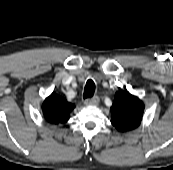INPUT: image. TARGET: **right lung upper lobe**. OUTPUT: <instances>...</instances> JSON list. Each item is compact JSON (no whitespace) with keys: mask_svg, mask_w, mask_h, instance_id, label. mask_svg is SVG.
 <instances>
[{"mask_svg":"<svg viewBox=\"0 0 173 170\" xmlns=\"http://www.w3.org/2000/svg\"><path fill=\"white\" fill-rule=\"evenodd\" d=\"M74 108V104L67 102L63 97L54 92L42 104L43 115L50 124L67 122Z\"/></svg>","mask_w":173,"mask_h":170,"instance_id":"obj_1","label":"right lung upper lobe"}]
</instances>
